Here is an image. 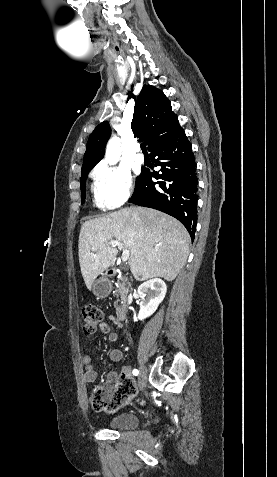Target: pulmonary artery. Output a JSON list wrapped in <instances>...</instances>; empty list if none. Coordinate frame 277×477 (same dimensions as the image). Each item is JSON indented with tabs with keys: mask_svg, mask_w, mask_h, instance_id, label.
I'll return each mask as SVG.
<instances>
[{
	"mask_svg": "<svg viewBox=\"0 0 277 477\" xmlns=\"http://www.w3.org/2000/svg\"><path fill=\"white\" fill-rule=\"evenodd\" d=\"M135 161L139 164L144 163V156L139 152V148H137V154L135 155Z\"/></svg>",
	"mask_w": 277,
	"mask_h": 477,
	"instance_id": "1",
	"label": "pulmonary artery"
}]
</instances>
